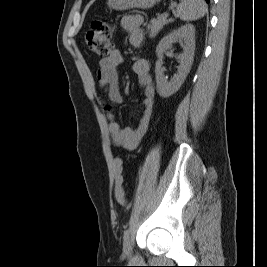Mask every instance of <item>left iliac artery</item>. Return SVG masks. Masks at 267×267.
Instances as JSON below:
<instances>
[{
    "mask_svg": "<svg viewBox=\"0 0 267 267\" xmlns=\"http://www.w3.org/2000/svg\"><path fill=\"white\" fill-rule=\"evenodd\" d=\"M129 229H126L125 231H124V239L125 238H127L128 236H129Z\"/></svg>",
    "mask_w": 267,
    "mask_h": 267,
    "instance_id": "obj_1",
    "label": "left iliac artery"
}]
</instances>
